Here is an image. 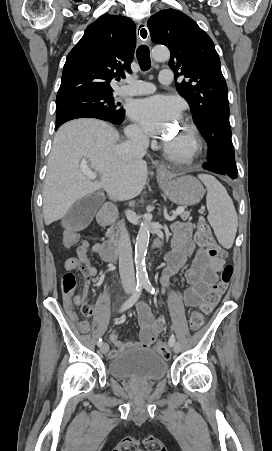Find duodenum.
I'll return each instance as SVG.
<instances>
[{"instance_id":"duodenum-1","label":"duodenum","mask_w":272,"mask_h":451,"mask_svg":"<svg viewBox=\"0 0 272 451\" xmlns=\"http://www.w3.org/2000/svg\"><path fill=\"white\" fill-rule=\"evenodd\" d=\"M117 214V210L113 204L107 203L100 210L97 217V225L98 226H107L111 224ZM160 240H156L153 243V247H160ZM99 255L104 261L113 262L118 257V247L111 241L100 244Z\"/></svg>"}]
</instances>
